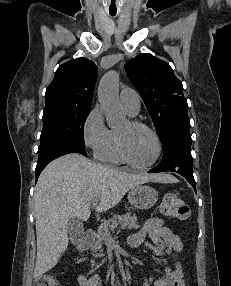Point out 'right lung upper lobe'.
Returning a JSON list of instances; mask_svg holds the SVG:
<instances>
[{
  "label": "right lung upper lobe",
  "instance_id": "right-lung-upper-lobe-1",
  "mask_svg": "<svg viewBox=\"0 0 231 286\" xmlns=\"http://www.w3.org/2000/svg\"><path fill=\"white\" fill-rule=\"evenodd\" d=\"M96 79L97 67L86 58H77L62 64L46 90L45 107H90Z\"/></svg>",
  "mask_w": 231,
  "mask_h": 286
}]
</instances>
